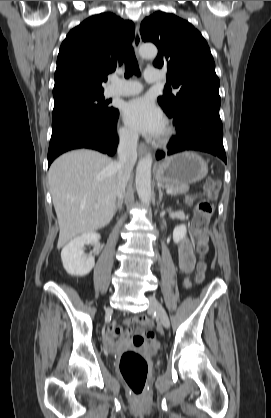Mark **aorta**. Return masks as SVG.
<instances>
[{"label":"aorta","instance_id":"1","mask_svg":"<svg viewBox=\"0 0 271 418\" xmlns=\"http://www.w3.org/2000/svg\"><path fill=\"white\" fill-rule=\"evenodd\" d=\"M140 55L144 58H155L158 50L153 44H144L140 47ZM152 155L147 154L141 158L136 167V189L140 201L149 206L151 202V167Z\"/></svg>","mask_w":271,"mask_h":418}]
</instances>
